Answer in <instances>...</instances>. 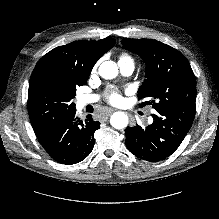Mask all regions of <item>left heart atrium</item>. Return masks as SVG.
Returning <instances> with one entry per match:
<instances>
[{
  "mask_svg": "<svg viewBox=\"0 0 219 219\" xmlns=\"http://www.w3.org/2000/svg\"><path fill=\"white\" fill-rule=\"evenodd\" d=\"M106 98L110 104H118L122 101V96L117 88L109 87L105 92Z\"/></svg>",
  "mask_w": 219,
  "mask_h": 219,
  "instance_id": "obj_1",
  "label": "left heart atrium"
}]
</instances>
